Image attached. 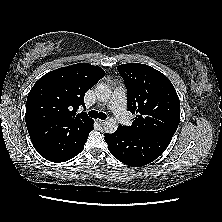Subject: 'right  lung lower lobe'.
Segmentation results:
<instances>
[{"label": "right lung lower lobe", "mask_w": 222, "mask_h": 222, "mask_svg": "<svg viewBox=\"0 0 222 222\" xmlns=\"http://www.w3.org/2000/svg\"><path fill=\"white\" fill-rule=\"evenodd\" d=\"M93 123L88 131L80 137L65 138L58 142L36 148V150L42 157L51 162L59 163L68 161L82 151L90 131L93 130Z\"/></svg>", "instance_id": "right-lung-lower-lobe-1"}]
</instances>
